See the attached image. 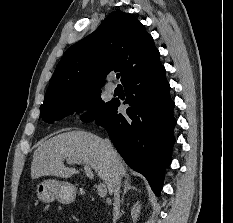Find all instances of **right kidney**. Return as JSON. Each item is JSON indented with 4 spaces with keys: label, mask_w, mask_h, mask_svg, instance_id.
I'll use <instances>...</instances> for the list:
<instances>
[{
    "label": "right kidney",
    "mask_w": 233,
    "mask_h": 223,
    "mask_svg": "<svg viewBox=\"0 0 233 223\" xmlns=\"http://www.w3.org/2000/svg\"><path fill=\"white\" fill-rule=\"evenodd\" d=\"M140 209H141V203L140 201H136L133 207H131V215H132L133 223H136L137 217H139Z\"/></svg>",
    "instance_id": "ca27d5eb"
}]
</instances>
